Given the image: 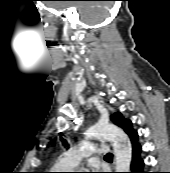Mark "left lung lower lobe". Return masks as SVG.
<instances>
[{"instance_id":"1","label":"left lung lower lobe","mask_w":170,"mask_h":173,"mask_svg":"<svg viewBox=\"0 0 170 173\" xmlns=\"http://www.w3.org/2000/svg\"><path fill=\"white\" fill-rule=\"evenodd\" d=\"M142 146L137 142L132 145V162L130 173H146L144 172V161L141 158Z\"/></svg>"}]
</instances>
